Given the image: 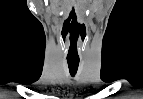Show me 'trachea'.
<instances>
[{"label":"trachea","mask_w":143,"mask_h":99,"mask_svg":"<svg viewBox=\"0 0 143 99\" xmlns=\"http://www.w3.org/2000/svg\"><path fill=\"white\" fill-rule=\"evenodd\" d=\"M67 63H68L70 74L72 76H75L79 66V60H67Z\"/></svg>","instance_id":"3493384b"}]
</instances>
